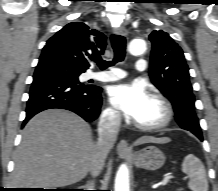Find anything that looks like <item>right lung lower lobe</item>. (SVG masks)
<instances>
[{
  "mask_svg": "<svg viewBox=\"0 0 218 191\" xmlns=\"http://www.w3.org/2000/svg\"><path fill=\"white\" fill-rule=\"evenodd\" d=\"M101 90L94 85L76 84L56 66H37L23 125L37 113L52 108L73 111L91 122L100 113Z\"/></svg>",
  "mask_w": 218,
  "mask_h": 191,
  "instance_id": "right-lung-lower-lobe-1",
  "label": "right lung lower lobe"
}]
</instances>
